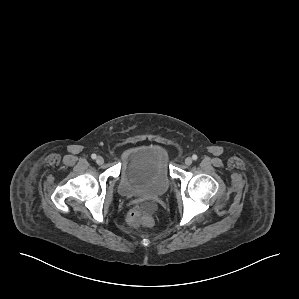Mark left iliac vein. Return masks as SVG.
<instances>
[{"label": "left iliac vein", "instance_id": "1", "mask_svg": "<svg viewBox=\"0 0 299 299\" xmlns=\"http://www.w3.org/2000/svg\"><path fill=\"white\" fill-rule=\"evenodd\" d=\"M192 162H193V160H192L191 157H187V158L185 159V164L188 165V166L191 165Z\"/></svg>", "mask_w": 299, "mask_h": 299}]
</instances>
